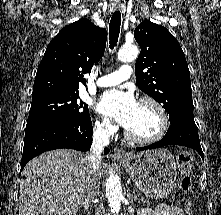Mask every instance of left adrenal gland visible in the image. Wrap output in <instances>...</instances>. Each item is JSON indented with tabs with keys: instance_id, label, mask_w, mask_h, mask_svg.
I'll use <instances>...</instances> for the list:
<instances>
[{
	"instance_id": "obj_1",
	"label": "left adrenal gland",
	"mask_w": 221,
	"mask_h": 215,
	"mask_svg": "<svg viewBox=\"0 0 221 215\" xmlns=\"http://www.w3.org/2000/svg\"><path fill=\"white\" fill-rule=\"evenodd\" d=\"M127 196H128V198L131 200V202L134 201L132 195L130 194V189H129V187L127 188Z\"/></svg>"
}]
</instances>
